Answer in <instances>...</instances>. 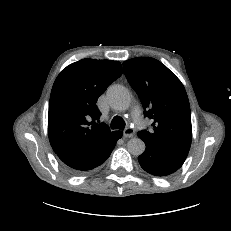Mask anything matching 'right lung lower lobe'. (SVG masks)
Listing matches in <instances>:
<instances>
[{
    "instance_id": "1",
    "label": "right lung lower lobe",
    "mask_w": 231,
    "mask_h": 231,
    "mask_svg": "<svg viewBox=\"0 0 231 231\" xmlns=\"http://www.w3.org/2000/svg\"><path fill=\"white\" fill-rule=\"evenodd\" d=\"M121 137L122 132L115 131L110 137L96 145L58 150L55 153L71 173L80 174L104 163L114 149L117 140Z\"/></svg>"
}]
</instances>
